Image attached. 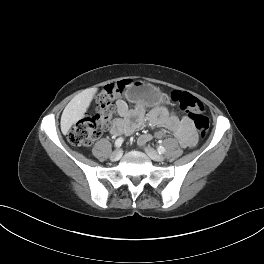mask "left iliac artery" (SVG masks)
<instances>
[{"label": "left iliac artery", "mask_w": 264, "mask_h": 264, "mask_svg": "<svg viewBox=\"0 0 264 264\" xmlns=\"http://www.w3.org/2000/svg\"><path fill=\"white\" fill-rule=\"evenodd\" d=\"M157 150H158L159 154H163V153H165V151H166V149H165L163 146H159V147L157 148Z\"/></svg>", "instance_id": "left-iliac-artery-1"}]
</instances>
